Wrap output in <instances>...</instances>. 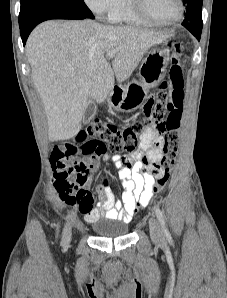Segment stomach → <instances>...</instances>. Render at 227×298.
I'll list each match as a JSON object with an SVG mask.
<instances>
[{
    "label": "stomach",
    "instance_id": "stomach-1",
    "mask_svg": "<svg viewBox=\"0 0 227 298\" xmlns=\"http://www.w3.org/2000/svg\"><path fill=\"white\" fill-rule=\"evenodd\" d=\"M169 63L164 49L153 47L139 68V80L130 82L125 88H113L108 96L109 107L119 112H133L144 103L150 88L160 82Z\"/></svg>",
    "mask_w": 227,
    "mask_h": 298
}]
</instances>
